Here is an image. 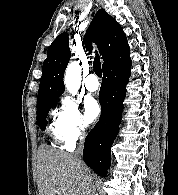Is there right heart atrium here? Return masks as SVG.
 <instances>
[{
    "label": "right heart atrium",
    "mask_w": 178,
    "mask_h": 195,
    "mask_svg": "<svg viewBox=\"0 0 178 195\" xmlns=\"http://www.w3.org/2000/svg\"><path fill=\"white\" fill-rule=\"evenodd\" d=\"M57 123L60 137L68 146L84 139L86 123L78 104L70 97L61 100Z\"/></svg>",
    "instance_id": "d8ad5b80"
}]
</instances>
